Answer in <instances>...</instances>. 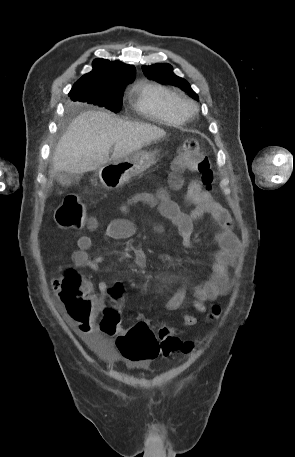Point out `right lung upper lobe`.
Here are the masks:
<instances>
[{"label":"right lung upper lobe","mask_w":295,"mask_h":457,"mask_svg":"<svg viewBox=\"0 0 295 457\" xmlns=\"http://www.w3.org/2000/svg\"><path fill=\"white\" fill-rule=\"evenodd\" d=\"M92 66L93 70L83 75L73 88L83 86L93 90H115L125 87L135 78V67L120 61L95 59Z\"/></svg>","instance_id":"obj_1"}]
</instances>
